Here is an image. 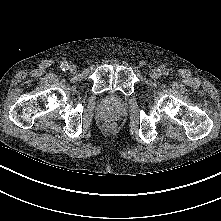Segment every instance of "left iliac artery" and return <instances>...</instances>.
Listing matches in <instances>:
<instances>
[{"label":"left iliac artery","mask_w":221,"mask_h":221,"mask_svg":"<svg viewBox=\"0 0 221 221\" xmlns=\"http://www.w3.org/2000/svg\"><path fill=\"white\" fill-rule=\"evenodd\" d=\"M162 71H163L164 75H168V70L167 69L164 68V69H162Z\"/></svg>","instance_id":"obj_1"}]
</instances>
